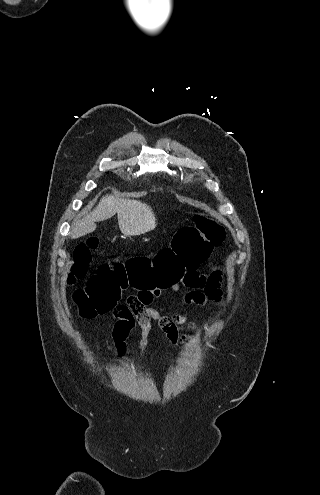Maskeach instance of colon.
<instances>
[{"label":"colon","instance_id":"obj_1","mask_svg":"<svg viewBox=\"0 0 320 495\" xmlns=\"http://www.w3.org/2000/svg\"><path fill=\"white\" fill-rule=\"evenodd\" d=\"M194 225L179 229L170 247L160 250L154 258L147 256L112 259L102 264L84 288L75 291L73 298L82 316L91 318L109 311H119L118 302L128 287L138 289L137 298L147 302L145 291L159 293L180 281L186 272L196 270L210 256L214 247L225 239L224 228L214 219L197 214ZM98 239L89 238L74 250L69 282L83 278L91 262V253L98 247Z\"/></svg>","mask_w":320,"mask_h":495}]
</instances>
